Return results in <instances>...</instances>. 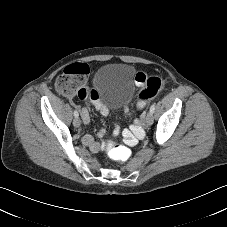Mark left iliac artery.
Wrapping results in <instances>:
<instances>
[{
	"label": "left iliac artery",
	"mask_w": 227,
	"mask_h": 227,
	"mask_svg": "<svg viewBox=\"0 0 227 227\" xmlns=\"http://www.w3.org/2000/svg\"><path fill=\"white\" fill-rule=\"evenodd\" d=\"M154 111H155V105H152V106L150 107V112L153 114Z\"/></svg>",
	"instance_id": "obj_1"
}]
</instances>
